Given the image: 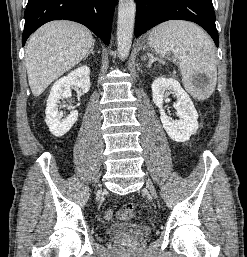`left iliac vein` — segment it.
<instances>
[{
	"label": "left iliac vein",
	"mask_w": 247,
	"mask_h": 257,
	"mask_svg": "<svg viewBox=\"0 0 247 257\" xmlns=\"http://www.w3.org/2000/svg\"><path fill=\"white\" fill-rule=\"evenodd\" d=\"M147 188L149 189L151 195L156 198L157 197V194H156V191H155V188L153 186V184L150 182V181H147Z\"/></svg>",
	"instance_id": "obj_1"
}]
</instances>
